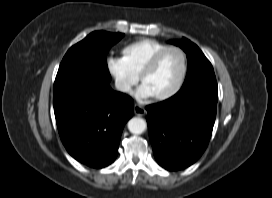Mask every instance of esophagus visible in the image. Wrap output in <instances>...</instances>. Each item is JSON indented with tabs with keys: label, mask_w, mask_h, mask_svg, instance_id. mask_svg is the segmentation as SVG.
Listing matches in <instances>:
<instances>
[{
	"label": "esophagus",
	"mask_w": 272,
	"mask_h": 198,
	"mask_svg": "<svg viewBox=\"0 0 272 198\" xmlns=\"http://www.w3.org/2000/svg\"><path fill=\"white\" fill-rule=\"evenodd\" d=\"M134 113H135V115H137V116H144V115L146 114V110H145L144 107L135 104V105H134Z\"/></svg>",
	"instance_id": "34e87169"
}]
</instances>
